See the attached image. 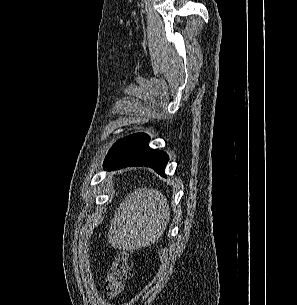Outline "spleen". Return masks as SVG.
<instances>
[{
    "label": "spleen",
    "instance_id": "3e777b00",
    "mask_svg": "<svg viewBox=\"0 0 297 305\" xmlns=\"http://www.w3.org/2000/svg\"><path fill=\"white\" fill-rule=\"evenodd\" d=\"M170 220L165 196L153 188H135L120 203L110 221L112 244L122 249H136L155 243Z\"/></svg>",
    "mask_w": 297,
    "mask_h": 305
}]
</instances>
